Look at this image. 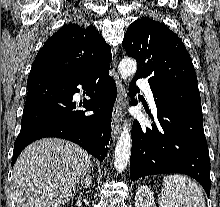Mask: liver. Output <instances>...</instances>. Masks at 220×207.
I'll list each match as a JSON object with an SVG mask.
<instances>
[{
  "instance_id": "6515ba94",
  "label": "liver",
  "mask_w": 220,
  "mask_h": 207,
  "mask_svg": "<svg viewBox=\"0 0 220 207\" xmlns=\"http://www.w3.org/2000/svg\"><path fill=\"white\" fill-rule=\"evenodd\" d=\"M91 157L78 145L46 138L27 146L13 168L16 207H60L90 170Z\"/></svg>"
}]
</instances>
